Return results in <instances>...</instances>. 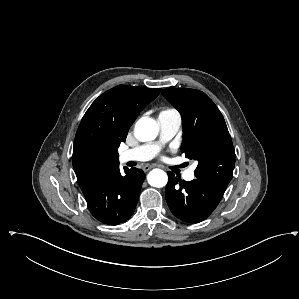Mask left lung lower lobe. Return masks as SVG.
<instances>
[{"instance_id":"0a47b994","label":"left lung lower lobe","mask_w":299,"mask_h":299,"mask_svg":"<svg viewBox=\"0 0 299 299\" xmlns=\"http://www.w3.org/2000/svg\"><path fill=\"white\" fill-rule=\"evenodd\" d=\"M168 175L165 192L167 204L174 216L187 223L205 220L217 207L225 192L202 178L185 181L177 179L171 172Z\"/></svg>"}]
</instances>
